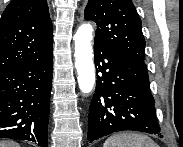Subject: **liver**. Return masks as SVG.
Here are the masks:
<instances>
[{
    "label": "liver",
    "mask_w": 183,
    "mask_h": 147,
    "mask_svg": "<svg viewBox=\"0 0 183 147\" xmlns=\"http://www.w3.org/2000/svg\"><path fill=\"white\" fill-rule=\"evenodd\" d=\"M0 147H19V144L13 141H0Z\"/></svg>",
    "instance_id": "6515ba94"
}]
</instances>
